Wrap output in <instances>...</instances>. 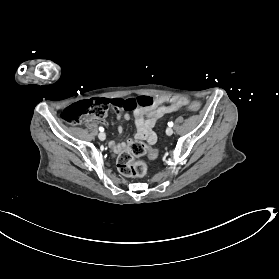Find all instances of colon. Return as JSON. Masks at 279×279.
Listing matches in <instances>:
<instances>
[{"label":"colon","mask_w":279,"mask_h":279,"mask_svg":"<svg viewBox=\"0 0 279 279\" xmlns=\"http://www.w3.org/2000/svg\"><path fill=\"white\" fill-rule=\"evenodd\" d=\"M154 105L155 98L145 95L128 99L96 98L80 101L68 106L63 110L61 118L66 123L79 124L89 118H104L110 108L133 111L137 108H151ZM187 107L191 111H199L201 104L197 101H193L189 103ZM145 154H148L150 158H157L159 151L157 149L148 148L140 141L132 142L129 147L119 155V170L124 175L130 177L141 178L145 176L148 167L145 162L138 159Z\"/></svg>","instance_id":"1"}]
</instances>
